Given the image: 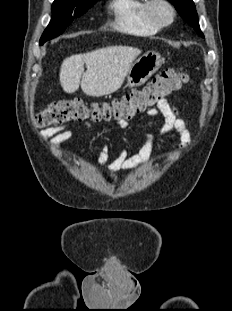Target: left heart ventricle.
Returning <instances> with one entry per match:
<instances>
[{
  "mask_svg": "<svg viewBox=\"0 0 232 311\" xmlns=\"http://www.w3.org/2000/svg\"><path fill=\"white\" fill-rule=\"evenodd\" d=\"M155 16L160 21H167L170 17L168 9L162 5L155 8Z\"/></svg>",
  "mask_w": 232,
  "mask_h": 311,
  "instance_id": "b2bd125f",
  "label": "left heart ventricle"
}]
</instances>
